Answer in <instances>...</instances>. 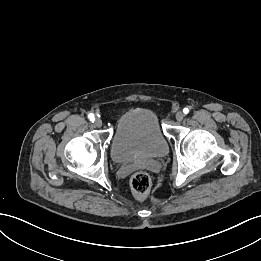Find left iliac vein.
<instances>
[{
	"mask_svg": "<svg viewBox=\"0 0 261 261\" xmlns=\"http://www.w3.org/2000/svg\"><path fill=\"white\" fill-rule=\"evenodd\" d=\"M184 116L185 115L183 114V112H181V111L177 112V114H176L177 121H182L184 119Z\"/></svg>",
	"mask_w": 261,
	"mask_h": 261,
	"instance_id": "obj_1",
	"label": "left iliac vein"
}]
</instances>
